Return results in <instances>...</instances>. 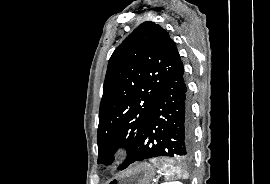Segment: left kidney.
Returning <instances> with one entry per match:
<instances>
[{
    "mask_svg": "<svg viewBox=\"0 0 270 184\" xmlns=\"http://www.w3.org/2000/svg\"><path fill=\"white\" fill-rule=\"evenodd\" d=\"M166 184H183V183H181L179 181H174V182H169V183H166Z\"/></svg>",
    "mask_w": 270,
    "mask_h": 184,
    "instance_id": "1",
    "label": "left kidney"
}]
</instances>
